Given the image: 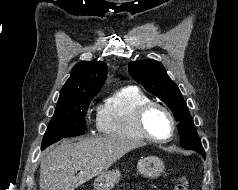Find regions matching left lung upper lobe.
Returning <instances> with one entry per match:
<instances>
[{
  "label": "left lung upper lobe",
  "instance_id": "left-lung-upper-lobe-1",
  "mask_svg": "<svg viewBox=\"0 0 238 190\" xmlns=\"http://www.w3.org/2000/svg\"><path fill=\"white\" fill-rule=\"evenodd\" d=\"M128 70L131 76L148 92L160 98L173 112L178 122L181 146L192 149L205 158L193 119L178 86L167 75L164 66L155 60L130 62Z\"/></svg>",
  "mask_w": 238,
  "mask_h": 190
}]
</instances>
